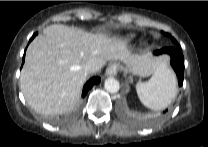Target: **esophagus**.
Masks as SVG:
<instances>
[{"label":"esophagus","mask_w":208,"mask_h":147,"mask_svg":"<svg viewBox=\"0 0 208 147\" xmlns=\"http://www.w3.org/2000/svg\"><path fill=\"white\" fill-rule=\"evenodd\" d=\"M119 71V64L111 63L106 69L107 76H115Z\"/></svg>","instance_id":"1"}]
</instances>
